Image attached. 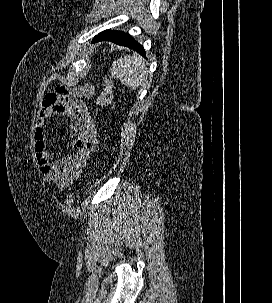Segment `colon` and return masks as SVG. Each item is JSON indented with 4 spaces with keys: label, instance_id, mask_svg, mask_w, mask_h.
Here are the masks:
<instances>
[{
    "label": "colon",
    "instance_id": "1",
    "mask_svg": "<svg viewBox=\"0 0 272 303\" xmlns=\"http://www.w3.org/2000/svg\"><path fill=\"white\" fill-rule=\"evenodd\" d=\"M115 85L114 81L111 77H105V87L100 96L95 101V107L97 109H101L108 105L114 96ZM67 204H72L74 202V196L72 194H68L66 197Z\"/></svg>",
    "mask_w": 272,
    "mask_h": 303
}]
</instances>
